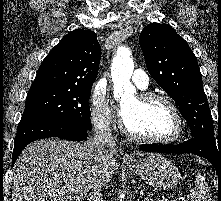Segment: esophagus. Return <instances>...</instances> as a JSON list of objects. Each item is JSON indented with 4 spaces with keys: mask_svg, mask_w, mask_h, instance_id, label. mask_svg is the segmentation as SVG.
<instances>
[{
    "mask_svg": "<svg viewBox=\"0 0 221 201\" xmlns=\"http://www.w3.org/2000/svg\"><path fill=\"white\" fill-rule=\"evenodd\" d=\"M125 159L128 161H133V158L131 156H126Z\"/></svg>",
    "mask_w": 221,
    "mask_h": 201,
    "instance_id": "34e87169",
    "label": "esophagus"
}]
</instances>
